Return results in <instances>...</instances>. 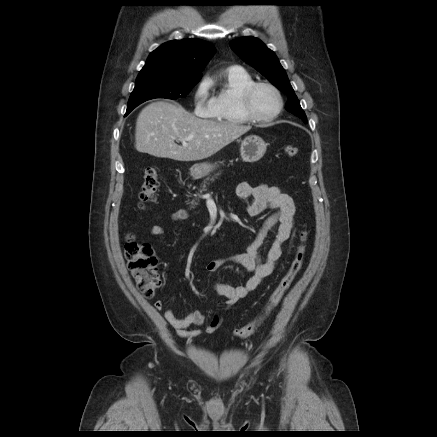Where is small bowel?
<instances>
[{
	"instance_id": "small-bowel-1",
	"label": "small bowel",
	"mask_w": 437,
	"mask_h": 437,
	"mask_svg": "<svg viewBox=\"0 0 437 437\" xmlns=\"http://www.w3.org/2000/svg\"><path fill=\"white\" fill-rule=\"evenodd\" d=\"M236 193L239 199L245 203L246 212L249 216H258L266 210H273L274 212L264 221L246 252L233 255L228 259L250 272V278L244 284L238 286H231L221 281L214 283L215 292L226 299L228 308L256 289L274 271L283 254V247L295 226L296 209L294 201L279 185L263 183L253 187L243 182L238 185ZM171 218L174 221H183L189 218V213L185 209H178L171 214ZM277 223L279 227L274 240L266 257L262 259L259 248L268 231ZM149 233L161 237L164 234V229L160 225H153L150 227ZM226 261V259L212 260L207 264L206 269L209 272H216ZM154 306L158 310L163 308L160 300L156 301ZM164 317L176 330L177 334L183 338L199 336L202 333L199 327L205 322V316L198 310H192L185 317L179 318L171 309H167L164 312ZM220 324V318L214 316L205 331L213 333L219 328ZM191 326L197 328L189 330Z\"/></svg>"
}]
</instances>
